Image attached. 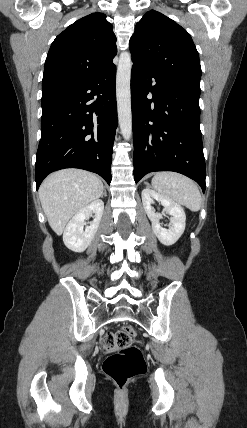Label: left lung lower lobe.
I'll return each mask as SVG.
<instances>
[{"mask_svg":"<svg viewBox=\"0 0 247 428\" xmlns=\"http://www.w3.org/2000/svg\"><path fill=\"white\" fill-rule=\"evenodd\" d=\"M150 93L151 100L147 98ZM199 96L200 91L166 80L150 67L133 61L131 105L136 183L149 172L175 171L195 180L205 192Z\"/></svg>","mask_w":247,"mask_h":428,"instance_id":"1","label":"left lung lower lobe"}]
</instances>
